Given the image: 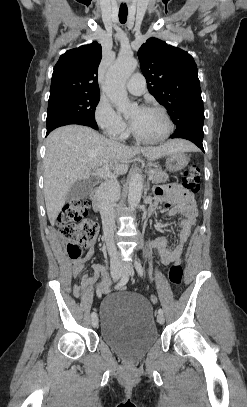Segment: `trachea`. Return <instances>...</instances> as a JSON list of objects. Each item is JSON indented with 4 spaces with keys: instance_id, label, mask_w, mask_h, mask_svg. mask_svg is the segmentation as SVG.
Here are the masks:
<instances>
[{
    "instance_id": "3493384b",
    "label": "trachea",
    "mask_w": 247,
    "mask_h": 407,
    "mask_svg": "<svg viewBox=\"0 0 247 407\" xmlns=\"http://www.w3.org/2000/svg\"><path fill=\"white\" fill-rule=\"evenodd\" d=\"M128 8L127 6H120L119 8V21L124 24L127 21Z\"/></svg>"
}]
</instances>
